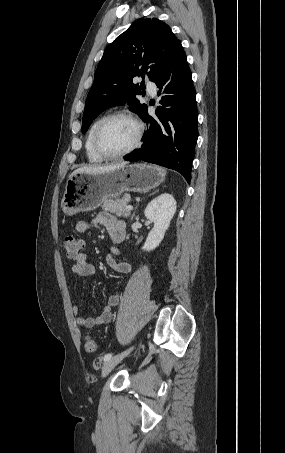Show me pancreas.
Here are the masks:
<instances>
[{"mask_svg": "<svg viewBox=\"0 0 285 453\" xmlns=\"http://www.w3.org/2000/svg\"><path fill=\"white\" fill-rule=\"evenodd\" d=\"M129 200L130 197L128 195H125L122 198H116L115 200H104L102 209L115 214L117 217L127 218L131 214V210L126 209Z\"/></svg>", "mask_w": 285, "mask_h": 453, "instance_id": "1", "label": "pancreas"}]
</instances>
